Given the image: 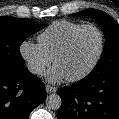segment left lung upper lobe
Here are the masks:
<instances>
[{
  "mask_svg": "<svg viewBox=\"0 0 119 119\" xmlns=\"http://www.w3.org/2000/svg\"><path fill=\"white\" fill-rule=\"evenodd\" d=\"M81 15L94 17L102 28L106 39L102 56L90 74L105 75L119 70V24L105 12L95 9L84 10L72 14V16Z\"/></svg>",
  "mask_w": 119,
  "mask_h": 119,
  "instance_id": "left-lung-upper-lobe-1",
  "label": "left lung upper lobe"
}]
</instances>
